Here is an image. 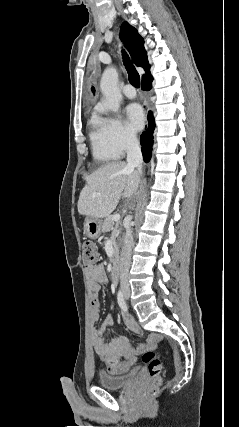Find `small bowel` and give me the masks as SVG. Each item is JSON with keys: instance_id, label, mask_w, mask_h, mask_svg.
Listing matches in <instances>:
<instances>
[{"instance_id": "obj_1", "label": "small bowel", "mask_w": 239, "mask_h": 427, "mask_svg": "<svg viewBox=\"0 0 239 427\" xmlns=\"http://www.w3.org/2000/svg\"><path fill=\"white\" fill-rule=\"evenodd\" d=\"M86 276L90 288V320L95 323L99 320L100 301L98 292L101 285L107 282V275L102 265L97 264L86 269ZM125 327L135 335H142V330L134 319L127 313H122ZM112 323V316L107 315L99 327L91 332L92 344L97 356L107 365L108 373L123 374L130 370L138 354L146 349L155 348L160 337L153 334L144 343L131 347L125 338L108 340L105 337L107 326Z\"/></svg>"}]
</instances>
